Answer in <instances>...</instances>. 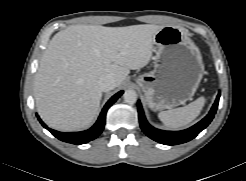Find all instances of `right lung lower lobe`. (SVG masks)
I'll list each match as a JSON object with an SVG mask.
<instances>
[{"label":"right lung lower lobe","mask_w":246,"mask_h":181,"mask_svg":"<svg viewBox=\"0 0 246 181\" xmlns=\"http://www.w3.org/2000/svg\"><path fill=\"white\" fill-rule=\"evenodd\" d=\"M123 94V91H120L116 93L104 106L97 122L94 124L93 127H91L89 130L82 131V132H76V133H63L59 132L53 129L48 128L42 120L38 117V120L43 125L44 128H46L48 131L52 133L56 138L59 140H62L64 142L72 143V144H84L87 143L96 137H98L105 125V118H106V112L108 108Z\"/></svg>","instance_id":"1"}]
</instances>
